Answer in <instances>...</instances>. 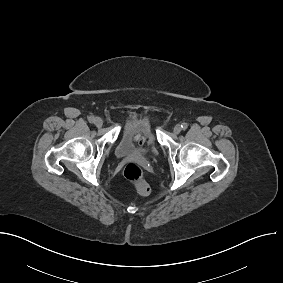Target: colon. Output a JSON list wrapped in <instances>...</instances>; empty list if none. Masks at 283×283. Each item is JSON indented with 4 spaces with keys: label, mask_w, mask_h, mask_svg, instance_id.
Returning a JSON list of instances; mask_svg holds the SVG:
<instances>
[{
    "label": "colon",
    "mask_w": 283,
    "mask_h": 283,
    "mask_svg": "<svg viewBox=\"0 0 283 283\" xmlns=\"http://www.w3.org/2000/svg\"><path fill=\"white\" fill-rule=\"evenodd\" d=\"M124 176L135 185L139 194L146 196L150 193V187L143 179V170L138 164H128L124 169Z\"/></svg>",
    "instance_id": "5ec220e1"
}]
</instances>
